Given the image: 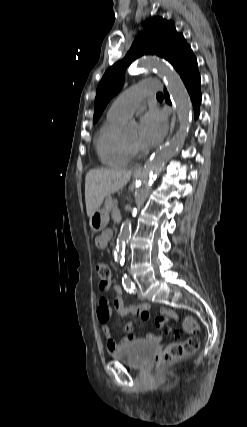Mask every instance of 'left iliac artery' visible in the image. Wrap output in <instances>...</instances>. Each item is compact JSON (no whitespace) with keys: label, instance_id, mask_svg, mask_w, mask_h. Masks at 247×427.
Returning <instances> with one entry per match:
<instances>
[{"label":"left iliac artery","instance_id":"1","mask_svg":"<svg viewBox=\"0 0 247 427\" xmlns=\"http://www.w3.org/2000/svg\"><path fill=\"white\" fill-rule=\"evenodd\" d=\"M122 284L124 289L129 292V293H135L136 291V287L135 284L133 283V281L127 276L124 275L122 278Z\"/></svg>","mask_w":247,"mask_h":427}]
</instances>
